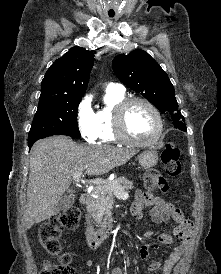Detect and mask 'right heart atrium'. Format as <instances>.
Instances as JSON below:
<instances>
[{
  "instance_id": "right-heart-atrium-1",
  "label": "right heart atrium",
  "mask_w": 221,
  "mask_h": 274,
  "mask_svg": "<svg viewBox=\"0 0 221 274\" xmlns=\"http://www.w3.org/2000/svg\"><path fill=\"white\" fill-rule=\"evenodd\" d=\"M77 124L82 137L89 143L98 139V125L89 96H84L77 106Z\"/></svg>"
}]
</instances>
